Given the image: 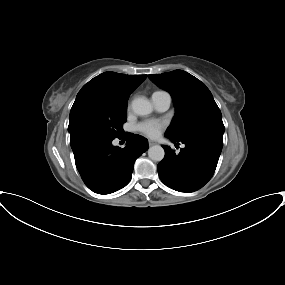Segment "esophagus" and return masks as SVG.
Here are the masks:
<instances>
[{
  "label": "esophagus",
  "mask_w": 285,
  "mask_h": 285,
  "mask_svg": "<svg viewBox=\"0 0 285 285\" xmlns=\"http://www.w3.org/2000/svg\"><path fill=\"white\" fill-rule=\"evenodd\" d=\"M148 143H149V146H153V145H155V144H156V142H155V141H153V140H149V141H148Z\"/></svg>",
  "instance_id": "1"
}]
</instances>
